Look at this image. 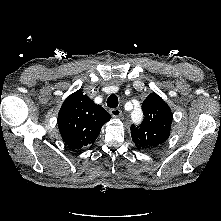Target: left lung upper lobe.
Masks as SVG:
<instances>
[{"label":"left lung upper lobe","mask_w":221,"mask_h":221,"mask_svg":"<svg viewBox=\"0 0 221 221\" xmlns=\"http://www.w3.org/2000/svg\"><path fill=\"white\" fill-rule=\"evenodd\" d=\"M144 119L131 126V136L137 148L153 150L170 136L173 115L170 107L156 93H151L142 103Z\"/></svg>","instance_id":"left-lung-upper-lobe-1"}]
</instances>
